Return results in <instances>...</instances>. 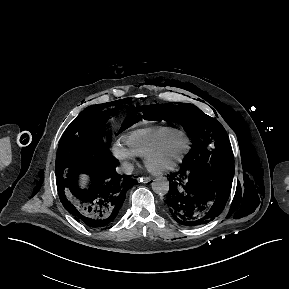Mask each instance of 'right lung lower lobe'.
Listing matches in <instances>:
<instances>
[{"label":"right lung lower lobe","mask_w":289,"mask_h":289,"mask_svg":"<svg viewBox=\"0 0 289 289\" xmlns=\"http://www.w3.org/2000/svg\"><path fill=\"white\" fill-rule=\"evenodd\" d=\"M117 160L108 153L82 157L66 178L57 182L58 195L65 209L80 223L93 230L111 227L121 216L126 192L137 183L119 175ZM88 174L91 184L86 189L77 185L79 174Z\"/></svg>","instance_id":"98d812e1"}]
</instances>
